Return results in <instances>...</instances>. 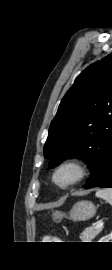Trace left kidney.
Listing matches in <instances>:
<instances>
[{"instance_id": "1", "label": "left kidney", "mask_w": 112, "mask_h": 270, "mask_svg": "<svg viewBox=\"0 0 112 270\" xmlns=\"http://www.w3.org/2000/svg\"><path fill=\"white\" fill-rule=\"evenodd\" d=\"M112 240V232L108 235V236H106V237H104V238H102V240ZM102 240H101V242H102Z\"/></svg>"}]
</instances>
